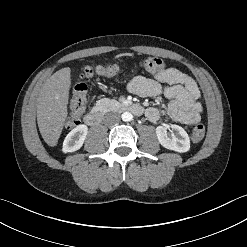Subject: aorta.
<instances>
[{"mask_svg":"<svg viewBox=\"0 0 247 247\" xmlns=\"http://www.w3.org/2000/svg\"><path fill=\"white\" fill-rule=\"evenodd\" d=\"M121 118L124 122H129L132 120L133 116L130 112H124L122 115H121Z\"/></svg>","mask_w":247,"mask_h":247,"instance_id":"762f6f07","label":"aorta"}]
</instances>
